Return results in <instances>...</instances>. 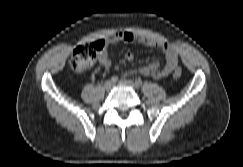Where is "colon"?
<instances>
[{
  "mask_svg": "<svg viewBox=\"0 0 243 167\" xmlns=\"http://www.w3.org/2000/svg\"><path fill=\"white\" fill-rule=\"evenodd\" d=\"M103 48V41H93L77 47L70 59V69L75 73L85 71L93 64L97 53ZM181 75V69L178 68L174 71V78H179Z\"/></svg>",
  "mask_w": 243,
  "mask_h": 167,
  "instance_id": "colon-1",
  "label": "colon"
}]
</instances>
